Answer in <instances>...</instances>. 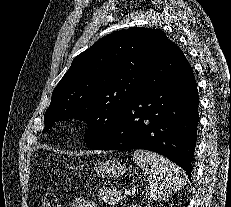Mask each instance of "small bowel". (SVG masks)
Returning a JSON list of instances; mask_svg holds the SVG:
<instances>
[{"mask_svg": "<svg viewBox=\"0 0 231 207\" xmlns=\"http://www.w3.org/2000/svg\"><path fill=\"white\" fill-rule=\"evenodd\" d=\"M70 207H96V204L92 200L78 197L73 200Z\"/></svg>", "mask_w": 231, "mask_h": 207, "instance_id": "c3829d8e", "label": "small bowel"}]
</instances>
